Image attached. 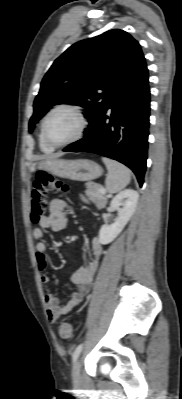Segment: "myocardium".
<instances>
[{"mask_svg": "<svg viewBox=\"0 0 182 399\" xmlns=\"http://www.w3.org/2000/svg\"><path fill=\"white\" fill-rule=\"evenodd\" d=\"M60 110H68V111L73 112L79 119V128H78L76 134L69 140L61 142V143H55L51 139H49L47 132H46V128H47V122H48L49 118L54 113H56ZM87 127H88V119H87L85 113L83 112V110L75 104L63 103V104H59V105L55 106L46 114V116L44 117L43 122H42L41 133H42V137H43L44 141L49 146H51L53 148H60V147L68 146V145L80 140L83 137L84 133L86 132Z\"/></svg>", "mask_w": 182, "mask_h": 399, "instance_id": "1", "label": "myocardium"}]
</instances>
